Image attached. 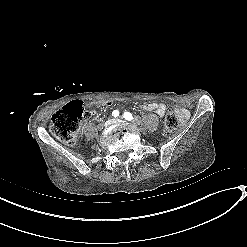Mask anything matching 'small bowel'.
I'll return each mask as SVG.
<instances>
[{
  "mask_svg": "<svg viewBox=\"0 0 247 247\" xmlns=\"http://www.w3.org/2000/svg\"><path fill=\"white\" fill-rule=\"evenodd\" d=\"M87 106L90 107V106H93V105H91L90 103H87ZM140 108L143 111L154 112L159 117H163L164 114H165V112H166L167 106L164 103H162V102H151V103L142 104L140 106ZM175 111L178 113V116H179V120L180 121H184V120L187 119L188 112H187L186 109H184V108H182L180 106H177L175 108Z\"/></svg>",
  "mask_w": 247,
  "mask_h": 247,
  "instance_id": "1",
  "label": "small bowel"
}]
</instances>
